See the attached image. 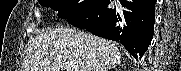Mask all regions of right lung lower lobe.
Segmentation results:
<instances>
[{
  "instance_id": "obj_1",
  "label": "right lung lower lobe",
  "mask_w": 181,
  "mask_h": 71,
  "mask_svg": "<svg viewBox=\"0 0 181 71\" xmlns=\"http://www.w3.org/2000/svg\"><path fill=\"white\" fill-rule=\"evenodd\" d=\"M97 0L88 10L67 18L73 26L119 41L141 59L154 34L156 0Z\"/></svg>"
}]
</instances>
